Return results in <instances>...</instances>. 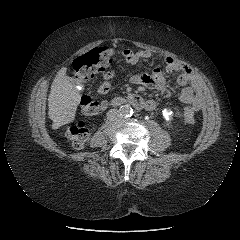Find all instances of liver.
I'll return each mask as SVG.
<instances>
[{"mask_svg": "<svg viewBox=\"0 0 240 240\" xmlns=\"http://www.w3.org/2000/svg\"><path fill=\"white\" fill-rule=\"evenodd\" d=\"M66 71L64 67L57 73L48 97V115L54 130L74 121L81 99L77 83L66 75Z\"/></svg>", "mask_w": 240, "mask_h": 240, "instance_id": "6515ba94", "label": "liver"}]
</instances>
